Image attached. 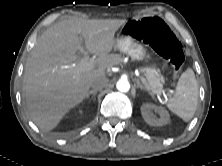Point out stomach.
Listing matches in <instances>:
<instances>
[{
    "label": "stomach",
    "instance_id": "stomach-1",
    "mask_svg": "<svg viewBox=\"0 0 222 166\" xmlns=\"http://www.w3.org/2000/svg\"><path fill=\"white\" fill-rule=\"evenodd\" d=\"M115 48L136 61L143 60L147 54V50L142 44L131 40L127 35L120 36L115 40Z\"/></svg>",
    "mask_w": 222,
    "mask_h": 166
}]
</instances>
